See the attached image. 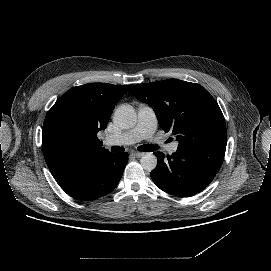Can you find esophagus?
<instances>
[{
	"label": "esophagus",
	"instance_id": "esophagus-1",
	"mask_svg": "<svg viewBox=\"0 0 271 271\" xmlns=\"http://www.w3.org/2000/svg\"><path fill=\"white\" fill-rule=\"evenodd\" d=\"M132 154H133L134 156H136V157H142V156L145 155L144 152H138V151H134Z\"/></svg>",
	"mask_w": 271,
	"mask_h": 271
}]
</instances>
